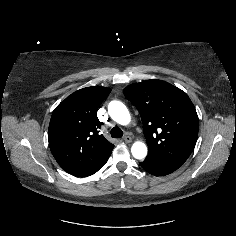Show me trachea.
<instances>
[{"instance_id": "1", "label": "trachea", "mask_w": 236, "mask_h": 236, "mask_svg": "<svg viewBox=\"0 0 236 236\" xmlns=\"http://www.w3.org/2000/svg\"><path fill=\"white\" fill-rule=\"evenodd\" d=\"M110 133L113 138H121L123 136V131L119 127H113Z\"/></svg>"}]
</instances>
